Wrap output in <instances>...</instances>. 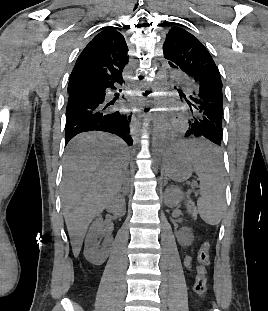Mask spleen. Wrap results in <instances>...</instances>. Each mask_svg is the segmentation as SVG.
I'll use <instances>...</instances> for the list:
<instances>
[{
  "mask_svg": "<svg viewBox=\"0 0 268 311\" xmlns=\"http://www.w3.org/2000/svg\"><path fill=\"white\" fill-rule=\"evenodd\" d=\"M190 147L191 163L200 180V197L197 201L201 218L209 225H217L225 209L224 171L218 144L207 140H185Z\"/></svg>",
  "mask_w": 268,
  "mask_h": 311,
  "instance_id": "spleen-1",
  "label": "spleen"
}]
</instances>
